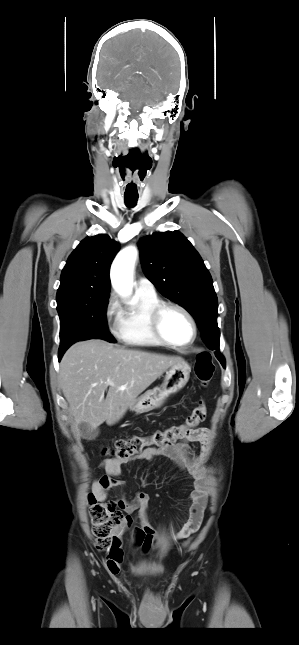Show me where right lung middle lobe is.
I'll use <instances>...</instances> for the list:
<instances>
[{
	"instance_id": "obj_1",
	"label": "right lung middle lobe",
	"mask_w": 299,
	"mask_h": 645,
	"mask_svg": "<svg viewBox=\"0 0 299 645\" xmlns=\"http://www.w3.org/2000/svg\"><path fill=\"white\" fill-rule=\"evenodd\" d=\"M109 296L74 297L57 304L60 317L59 353H64L80 340L97 338L115 342L106 322Z\"/></svg>"
}]
</instances>
